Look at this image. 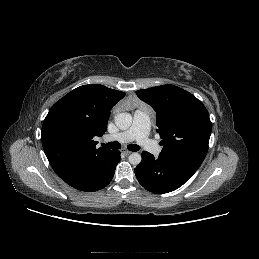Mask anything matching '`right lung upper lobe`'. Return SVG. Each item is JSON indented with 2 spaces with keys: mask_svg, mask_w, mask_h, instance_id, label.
I'll return each mask as SVG.
<instances>
[{
  "mask_svg": "<svg viewBox=\"0 0 259 259\" xmlns=\"http://www.w3.org/2000/svg\"><path fill=\"white\" fill-rule=\"evenodd\" d=\"M124 96V92L103 85H83L51 107L43 122L41 140L47 159L59 177L112 151L96 149L93 137L106 132L110 111Z\"/></svg>",
  "mask_w": 259,
  "mask_h": 259,
  "instance_id": "cb5924a9",
  "label": "right lung upper lobe"
}]
</instances>
